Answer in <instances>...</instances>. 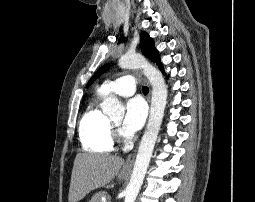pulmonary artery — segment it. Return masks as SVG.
Instances as JSON below:
<instances>
[{
	"label": "pulmonary artery",
	"instance_id": "pulmonary-artery-1",
	"mask_svg": "<svg viewBox=\"0 0 255 202\" xmlns=\"http://www.w3.org/2000/svg\"><path fill=\"white\" fill-rule=\"evenodd\" d=\"M136 90V79L131 75L119 77L112 81H106L98 89L101 96L117 94L128 97L134 94Z\"/></svg>",
	"mask_w": 255,
	"mask_h": 202
}]
</instances>
